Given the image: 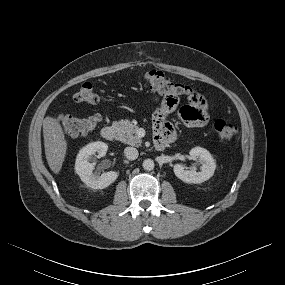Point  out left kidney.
<instances>
[{
    "instance_id": "obj_1",
    "label": "left kidney",
    "mask_w": 285,
    "mask_h": 285,
    "mask_svg": "<svg viewBox=\"0 0 285 285\" xmlns=\"http://www.w3.org/2000/svg\"><path fill=\"white\" fill-rule=\"evenodd\" d=\"M190 156L197 157L201 162V171L186 170L182 164L174 165V173L176 177L185 183L199 184L210 179L216 169V163L210 152L201 147L192 148L189 152Z\"/></svg>"
}]
</instances>
